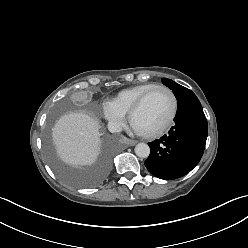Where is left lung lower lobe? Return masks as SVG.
<instances>
[{"label": "left lung lower lobe", "instance_id": "0a47b994", "mask_svg": "<svg viewBox=\"0 0 248 248\" xmlns=\"http://www.w3.org/2000/svg\"><path fill=\"white\" fill-rule=\"evenodd\" d=\"M175 125L167 135L148 143L145 166L154 176L173 180L189 173L200 161L208 126L202 106L193 92L177 102Z\"/></svg>", "mask_w": 248, "mask_h": 248}]
</instances>
